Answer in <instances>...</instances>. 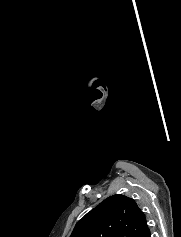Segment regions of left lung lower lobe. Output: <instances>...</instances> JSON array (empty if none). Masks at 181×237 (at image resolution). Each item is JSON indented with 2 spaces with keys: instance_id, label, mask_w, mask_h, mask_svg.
<instances>
[{
  "instance_id": "1",
  "label": "left lung lower lobe",
  "mask_w": 181,
  "mask_h": 237,
  "mask_svg": "<svg viewBox=\"0 0 181 237\" xmlns=\"http://www.w3.org/2000/svg\"><path fill=\"white\" fill-rule=\"evenodd\" d=\"M140 237H151L149 228L147 227Z\"/></svg>"
}]
</instances>
